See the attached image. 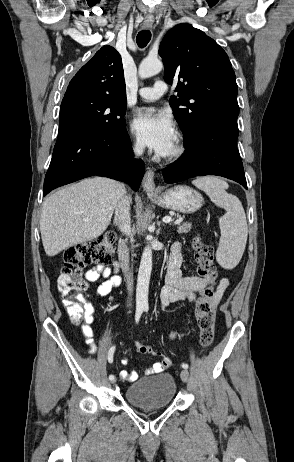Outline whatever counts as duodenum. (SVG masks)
<instances>
[{
  "mask_svg": "<svg viewBox=\"0 0 294 462\" xmlns=\"http://www.w3.org/2000/svg\"><path fill=\"white\" fill-rule=\"evenodd\" d=\"M118 257H119L118 266L122 270L127 271L129 268V251L124 241H121L118 245Z\"/></svg>",
  "mask_w": 294,
  "mask_h": 462,
  "instance_id": "duodenum-1",
  "label": "duodenum"
}]
</instances>
